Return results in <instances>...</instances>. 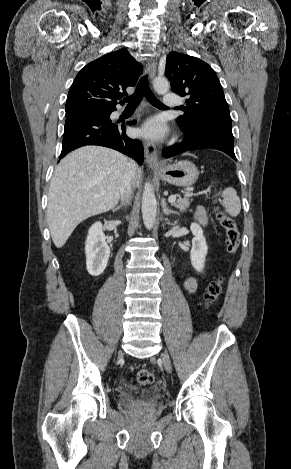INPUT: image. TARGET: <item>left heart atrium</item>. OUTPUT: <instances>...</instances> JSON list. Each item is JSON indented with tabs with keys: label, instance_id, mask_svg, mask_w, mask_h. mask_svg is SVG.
<instances>
[{
	"label": "left heart atrium",
	"instance_id": "left-heart-atrium-1",
	"mask_svg": "<svg viewBox=\"0 0 291 469\" xmlns=\"http://www.w3.org/2000/svg\"><path fill=\"white\" fill-rule=\"evenodd\" d=\"M166 127L158 117L148 119L140 130V134L151 140L162 139L166 135Z\"/></svg>",
	"mask_w": 291,
	"mask_h": 469
}]
</instances>
